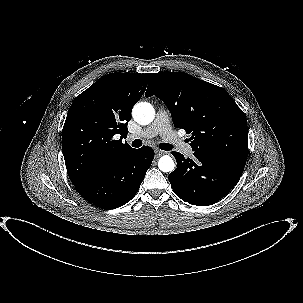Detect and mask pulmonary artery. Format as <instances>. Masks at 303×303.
<instances>
[{
    "label": "pulmonary artery",
    "mask_w": 303,
    "mask_h": 303,
    "mask_svg": "<svg viewBox=\"0 0 303 303\" xmlns=\"http://www.w3.org/2000/svg\"><path fill=\"white\" fill-rule=\"evenodd\" d=\"M160 134L164 140H166L171 145L175 146L184 155L191 156L194 152L193 147L183 143L179 137L173 132L168 114L160 110L155 116L154 122L148 126L145 130L141 132L140 135L131 134L128 136L129 140H134L136 138H152Z\"/></svg>",
    "instance_id": "e3ab8cb5"
}]
</instances>
